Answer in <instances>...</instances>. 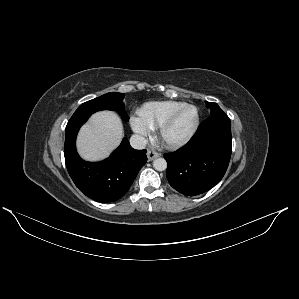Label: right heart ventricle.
Masks as SVG:
<instances>
[{
    "label": "right heart ventricle",
    "mask_w": 299,
    "mask_h": 299,
    "mask_svg": "<svg viewBox=\"0 0 299 299\" xmlns=\"http://www.w3.org/2000/svg\"><path fill=\"white\" fill-rule=\"evenodd\" d=\"M186 103L181 101L164 100L144 104L138 114L142 122L151 130L158 129L166 118Z\"/></svg>",
    "instance_id": "e07e8e85"
}]
</instances>
